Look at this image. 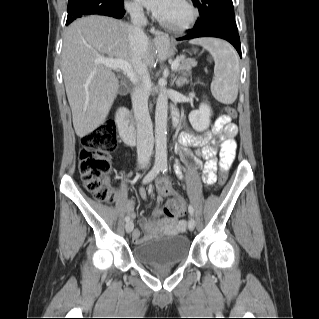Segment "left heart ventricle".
<instances>
[{
	"instance_id": "b2bd125f",
	"label": "left heart ventricle",
	"mask_w": 319,
	"mask_h": 319,
	"mask_svg": "<svg viewBox=\"0 0 319 319\" xmlns=\"http://www.w3.org/2000/svg\"><path fill=\"white\" fill-rule=\"evenodd\" d=\"M187 15V10L180 0H170L165 11L160 15L168 21H180Z\"/></svg>"
}]
</instances>
